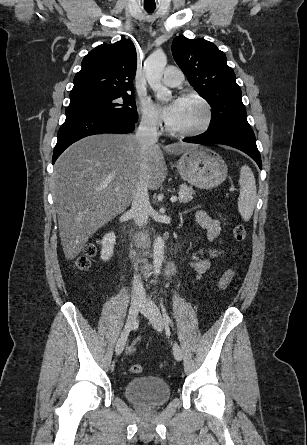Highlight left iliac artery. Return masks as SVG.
<instances>
[{"label":"left iliac artery","instance_id":"1","mask_svg":"<svg viewBox=\"0 0 307 445\" xmlns=\"http://www.w3.org/2000/svg\"><path fill=\"white\" fill-rule=\"evenodd\" d=\"M160 307H161V310H162V313H163L165 322H166L167 324H169L172 328H174V327H173L172 320L170 319V317H169V315H168V313H167V310H166V308H165V306H164V304H163V300H162V299H160Z\"/></svg>","mask_w":307,"mask_h":445}]
</instances>
